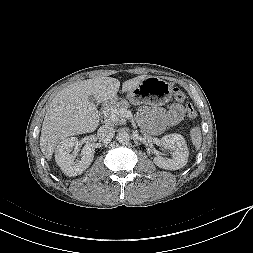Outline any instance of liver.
Masks as SVG:
<instances>
[{
    "label": "liver",
    "instance_id": "liver-1",
    "mask_svg": "<svg viewBox=\"0 0 253 253\" xmlns=\"http://www.w3.org/2000/svg\"><path fill=\"white\" fill-rule=\"evenodd\" d=\"M146 75L129 79L122 84V92L136 88ZM120 81L112 77H97L70 84L60 90L48 108L41 129L40 148L49 161L57 144L66 137L93 132L99 125V113L89 96L97 102L117 96Z\"/></svg>",
    "mask_w": 253,
    "mask_h": 253
}]
</instances>
